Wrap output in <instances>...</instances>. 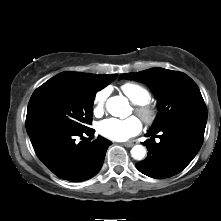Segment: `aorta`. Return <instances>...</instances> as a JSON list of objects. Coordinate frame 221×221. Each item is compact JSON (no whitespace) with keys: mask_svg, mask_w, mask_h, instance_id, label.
I'll return each instance as SVG.
<instances>
[{"mask_svg":"<svg viewBox=\"0 0 221 221\" xmlns=\"http://www.w3.org/2000/svg\"><path fill=\"white\" fill-rule=\"evenodd\" d=\"M126 105V99L122 96H114L107 100L106 107L108 112L113 116H119L120 110ZM146 150L142 145H136L131 149V155L135 160H142Z\"/></svg>","mask_w":221,"mask_h":221,"instance_id":"1","label":"aorta"}]
</instances>
